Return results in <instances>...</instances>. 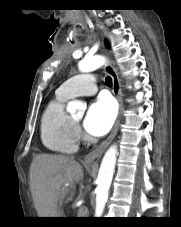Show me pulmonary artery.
<instances>
[{
    "instance_id": "pulmonary-artery-1",
    "label": "pulmonary artery",
    "mask_w": 181,
    "mask_h": 227,
    "mask_svg": "<svg viewBox=\"0 0 181 227\" xmlns=\"http://www.w3.org/2000/svg\"><path fill=\"white\" fill-rule=\"evenodd\" d=\"M57 92L68 98L90 96L97 92L96 80L90 74L77 75L65 81Z\"/></svg>"
}]
</instances>
